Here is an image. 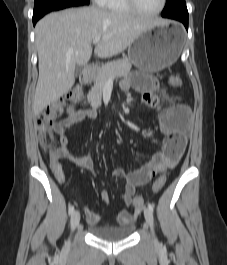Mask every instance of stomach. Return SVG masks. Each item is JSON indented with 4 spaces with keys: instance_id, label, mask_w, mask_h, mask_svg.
Listing matches in <instances>:
<instances>
[{
    "instance_id": "1",
    "label": "stomach",
    "mask_w": 227,
    "mask_h": 265,
    "mask_svg": "<svg viewBox=\"0 0 227 265\" xmlns=\"http://www.w3.org/2000/svg\"><path fill=\"white\" fill-rule=\"evenodd\" d=\"M183 46L182 29L152 27L128 47V59L140 70L155 73L174 64Z\"/></svg>"
}]
</instances>
